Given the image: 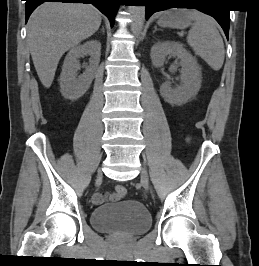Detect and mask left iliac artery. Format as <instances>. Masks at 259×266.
I'll return each instance as SVG.
<instances>
[{
  "label": "left iliac artery",
  "mask_w": 259,
  "mask_h": 266,
  "mask_svg": "<svg viewBox=\"0 0 259 266\" xmlns=\"http://www.w3.org/2000/svg\"><path fill=\"white\" fill-rule=\"evenodd\" d=\"M151 191H154V188H151Z\"/></svg>",
  "instance_id": "1"
}]
</instances>
